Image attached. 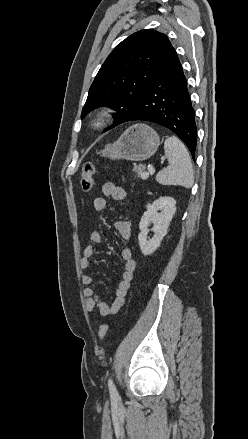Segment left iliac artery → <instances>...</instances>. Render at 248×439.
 <instances>
[{"label":"left iliac artery","instance_id":"1","mask_svg":"<svg viewBox=\"0 0 248 439\" xmlns=\"http://www.w3.org/2000/svg\"><path fill=\"white\" fill-rule=\"evenodd\" d=\"M108 387H109V392H110L111 396H115V397L118 396V392H117L116 387H115L113 380L111 378L108 380Z\"/></svg>","mask_w":248,"mask_h":439}]
</instances>
